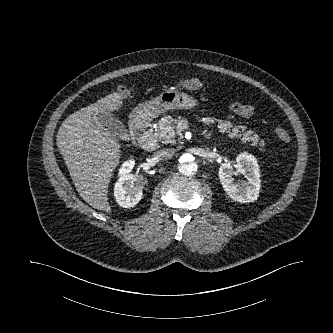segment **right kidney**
Wrapping results in <instances>:
<instances>
[{"instance_id": "ca27d5eb", "label": "right kidney", "mask_w": 333, "mask_h": 333, "mask_svg": "<svg viewBox=\"0 0 333 333\" xmlns=\"http://www.w3.org/2000/svg\"><path fill=\"white\" fill-rule=\"evenodd\" d=\"M135 162L128 160L122 164L120 177L114 186V196L117 203L124 208L133 207L142 198V188L145 184L142 176L129 174L133 169Z\"/></svg>"}]
</instances>
